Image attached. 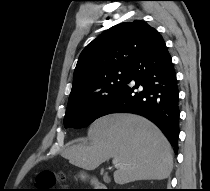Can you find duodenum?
I'll use <instances>...</instances> for the list:
<instances>
[{
    "instance_id": "1",
    "label": "duodenum",
    "mask_w": 210,
    "mask_h": 191,
    "mask_svg": "<svg viewBox=\"0 0 210 191\" xmlns=\"http://www.w3.org/2000/svg\"><path fill=\"white\" fill-rule=\"evenodd\" d=\"M95 186L97 187L96 191H115V190L108 189L105 185L101 186L100 184H97L96 182H95Z\"/></svg>"
}]
</instances>
